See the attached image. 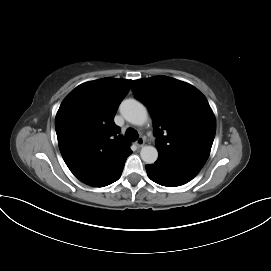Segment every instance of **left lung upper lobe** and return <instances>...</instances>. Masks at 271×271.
I'll list each match as a JSON object with an SVG mask.
<instances>
[{
  "instance_id": "5c2ea615",
  "label": "left lung upper lobe",
  "mask_w": 271,
  "mask_h": 271,
  "mask_svg": "<svg viewBox=\"0 0 271 271\" xmlns=\"http://www.w3.org/2000/svg\"><path fill=\"white\" fill-rule=\"evenodd\" d=\"M132 88L152 116L158 153L203 167L216 131L205 96L194 86L167 76L134 80Z\"/></svg>"
}]
</instances>
